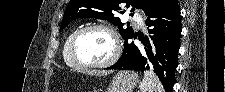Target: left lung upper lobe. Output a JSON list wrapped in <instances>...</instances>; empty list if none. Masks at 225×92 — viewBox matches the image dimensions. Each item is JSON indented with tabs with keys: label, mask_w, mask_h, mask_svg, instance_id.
I'll return each mask as SVG.
<instances>
[{
	"label": "left lung upper lobe",
	"mask_w": 225,
	"mask_h": 92,
	"mask_svg": "<svg viewBox=\"0 0 225 92\" xmlns=\"http://www.w3.org/2000/svg\"><path fill=\"white\" fill-rule=\"evenodd\" d=\"M163 0H71L65 11L60 30H62L70 21L82 17L97 18L108 20L117 25L120 34L124 40L134 35L133 29L123 28L120 18L114 17L115 12L124 13L120 8L122 3L126 6H132L131 12L135 8L141 9L145 14L157 6ZM131 16L133 13L130 14Z\"/></svg>",
	"instance_id": "left-lung-upper-lobe-1"
}]
</instances>
